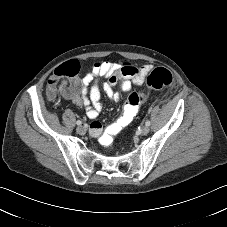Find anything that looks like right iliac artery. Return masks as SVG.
Masks as SVG:
<instances>
[{
  "label": "right iliac artery",
  "mask_w": 227,
  "mask_h": 227,
  "mask_svg": "<svg viewBox=\"0 0 227 227\" xmlns=\"http://www.w3.org/2000/svg\"><path fill=\"white\" fill-rule=\"evenodd\" d=\"M76 124H77V125H81L82 122H81L80 120H78V121L76 122Z\"/></svg>",
  "instance_id": "obj_1"
}]
</instances>
